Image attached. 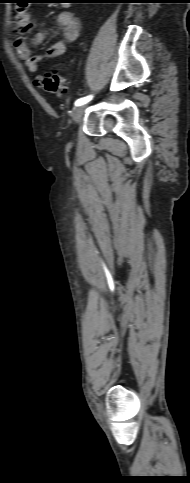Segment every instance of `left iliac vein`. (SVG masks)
<instances>
[{
  "mask_svg": "<svg viewBox=\"0 0 190 483\" xmlns=\"http://www.w3.org/2000/svg\"><path fill=\"white\" fill-rule=\"evenodd\" d=\"M86 108V105L83 104V105H80V106H77L74 110H73V113H72V120L75 124H78L81 120V116L84 112Z\"/></svg>",
  "mask_w": 190,
  "mask_h": 483,
  "instance_id": "obj_1",
  "label": "left iliac vein"
}]
</instances>
